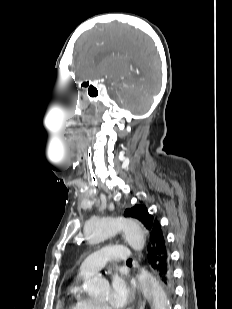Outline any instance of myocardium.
Returning <instances> with one entry per match:
<instances>
[{
	"label": "myocardium",
	"mask_w": 232,
	"mask_h": 309,
	"mask_svg": "<svg viewBox=\"0 0 232 309\" xmlns=\"http://www.w3.org/2000/svg\"><path fill=\"white\" fill-rule=\"evenodd\" d=\"M101 309H109V307L106 304H98Z\"/></svg>",
	"instance_id": "1"
}]
</instances>
